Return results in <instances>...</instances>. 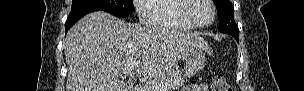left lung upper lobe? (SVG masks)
Wrapping results in <instances>:
<instances>
[{
  "instance_id": "1",
  "label": "left lung upper lobe",
  "mask_w": 304,
  "mask_h": 91,
  "mask_svg": "<svg viewBox=\"0 0 304 91\" xmlns=\"http://www.w3.org/2000/svg\"><path fill=\"white\" fill-rule=\"evenodd\" d=\"M220 18L219 30L223 33H239L234 20V6L229 0H213Z\"/></svg>"
}]
</instances>
